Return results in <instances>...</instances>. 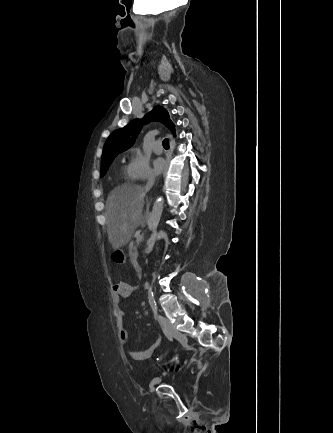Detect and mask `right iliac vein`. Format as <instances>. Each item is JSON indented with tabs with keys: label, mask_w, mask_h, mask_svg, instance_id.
<instances>
[{
	"label": "right iliac vein",
	"mask_w": 333,
	"mask_h": 433,
	"mask_svg": "<svg viewBox=\"0 0 333 433\" xmlns=\"http://www.w3.org/2000/svg\"><path fill=\"white\" fill-rule=\"evenodd\" d=\"M164 327L171 333V335L177 339L182 345H186L188 343V338L185 334H182L180 331H178L175 327H173L170 324H165ZM160 382V378H155L151 382L150 385V392L154 391L155 385Z\"/></svg>",
	"instance_id": "63e3f726"
}]
</instances>
